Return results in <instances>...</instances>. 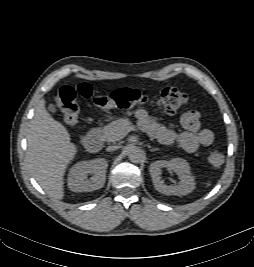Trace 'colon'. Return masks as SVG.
<instances>
[{"label":"colon","mask_w":254,"mask_h":267,"mask_svg":"<svg viewBox=\"0 0 254 267\" xmlns=\"http://www.w3.org/2000/svg\"><path fill=\"white\" fill-rule=\"evenodd\" d=\"M78 97L91 100L103 111L149 106L157 112L173 114L189 104L187 95L175 87H166L155 98H149L134 89H118L109 95H95L93 88L87 83L65 85L59 90L55 100L62 112L63 122L67 125L78 121ZM206 161L213 169H219L224 163V156L218 150H211L206 155Z\"/></svg>","instance_id":"obj_1"}]
</instances>
